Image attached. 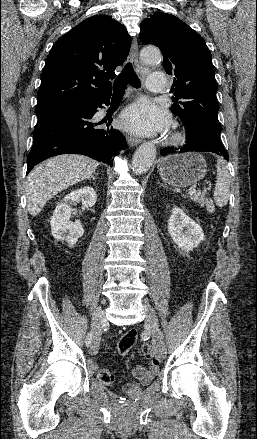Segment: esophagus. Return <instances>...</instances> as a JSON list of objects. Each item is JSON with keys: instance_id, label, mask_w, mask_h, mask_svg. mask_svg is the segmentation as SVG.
<instances>
[{"instance_id": "esophagus-1", "label": "esophagus", "mask_w": 257, "mask_h": 439, "mask_svg": "<svg viewBox=\"0 0 257 439\" xmlns=\"http://www.w3.org/2000/svg\"><path fill=\"white\" fill-rule=\"evenodd\" d=\"M130 59L136 64L138 62V43L136 37L132 39L131 50H130ZM127 142L129 146L134 147L137 146L141 140L136 137L126 136Z\"/></svg>"}]
</instances>
